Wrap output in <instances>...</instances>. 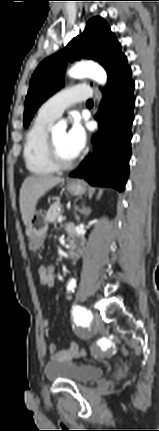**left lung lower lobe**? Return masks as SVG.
Here are the masks:
<instances>
[{
  "mask_svg": "<svg viewBox=\"0 0 159 431\" xmlns=\"http://www.w3.org/2000/svg\"><path fill=\"white\" fill-rule=\"evenodd\" d=\"M134 81L130 66L122 67L104 88L96 115L99 130L94 136L92 159L85 158L70 177L84 178L91 185L123 191L129 173L131 125L134 115Z\"/></svg>",
  "mask_w": 159,
  "mask_h": 431,
  "instance_id": "left-lung-lower-lobe-1",
  "label": "left lung lower lobe"
}]
</instances>
